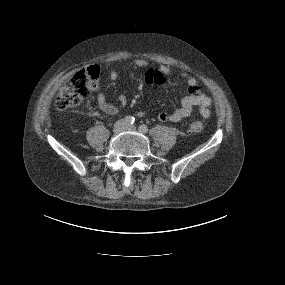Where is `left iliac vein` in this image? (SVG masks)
<instances>
[{
	"label": "left iliac vein",
	"mask_w": 285,
	"mask_h": 285,
	"mask_svg": "<svg viewBox=\"0 0 285 285\" xmlns=\"http://www.w3.org/2000/svg\"><path fill=\"white\" fill-rule=\"evenodd\" d=\"M126 130H135V126L134 125H130V124H127L126 127H125Z\"/></svg>",
	"instance_id": "left-iliac-vein-1"
}]
</instances>
